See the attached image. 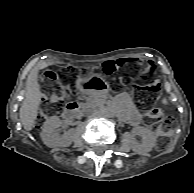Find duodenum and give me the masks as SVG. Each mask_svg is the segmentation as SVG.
I'll use <instances>...</instances> for the list:
<instances>
[{
	"label": "duodenum",
	"mask_w": 194,
	"mask_h": 193,
	"mask_svg": "<svg viewBox=\"0 0 194 193\" xmlns=\"http://www.w3.org/2000/svg\"><path fill=\"white\" fill-rule=\"evenodd\" d=\"M80 113V106L77 102H69L63 111V117L71 120L78 116Z\"/></svg>",
	"instance_id": "obj_1"
}]
</instances>
